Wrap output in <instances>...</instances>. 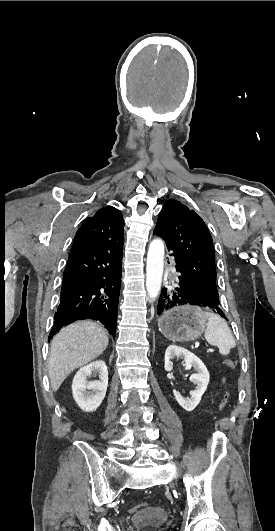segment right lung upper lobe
I'll return each mask as SVG.
<instances>
[{"instance_id":"obj_1","label":"right lung upper lobe","mask_w":275,"mask_h":531,"mask_svg":"<svg viewBox=\"0 0 275 531\" xmlns=\"http://www.w3.org/2000/svg\"><path fill=\"white\" fill-rule=\"evenodd\" d=\"M124 221L121 212L106 206L87 218L78 229L71 251L103 240L123 241Z\"/></svg>"}]
</instances>
